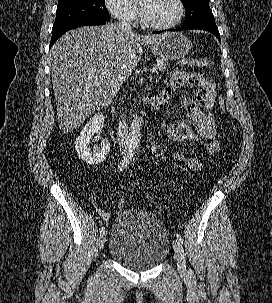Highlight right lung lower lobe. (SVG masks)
Returning a JSON list of instances; mask_svg holds the SVG:
<instances>
[{
	"instance_id": "1",
	"label": "right lung lower lobe",
	"mask_w": 272,
	"mask_h": 303,
	"mask_svg": "<svg viewBox=\"0 0 272 303\" xmlns=\"http://www.w3.org/2000/svg\"><path fill=\"white\" fill-rule=\"evenodd\" d=\"M105 23H106V21H103V20H93V19L79 20V21H74V22L65 24V25L57 27V28H52V38H51L50 48L68 30H71V29H74V28L80 27V26L103 25Z\"/></svg>"
}]
</instances>
